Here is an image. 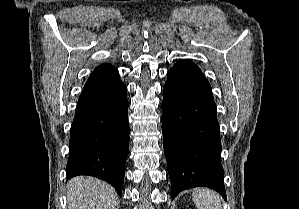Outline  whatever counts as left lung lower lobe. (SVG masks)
Segmentation results:
<instances>
[{
	"instance_id": "left-lung-lower-lobe-1",
	"label": "left lung lower lobe",
	"mask_w": 299,
	"mask_h": 209,
	"mask_svg": "<svg viewBox=\"0 0 299 209\" xmlns=\"http://www.w3.org/2000/svg\"><path fill=\"white\" fill-rule=\"evenodd\" d=\"M163 92V146L172 199L199 186L226 199L219 123L208 80L194 63L182 60L168 71Z\"/></svg>"
}]
</instances>
